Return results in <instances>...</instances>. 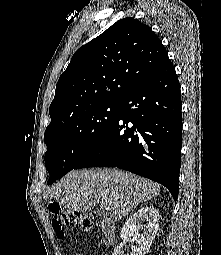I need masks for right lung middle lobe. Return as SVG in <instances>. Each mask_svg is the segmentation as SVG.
<instances>
[{"mask_svg": "<svg viewBox=\"0 0 221 255\" xmlns=\"http://www.w3.org/2000/svg\"><path fill=\"white\" fill-rule=\"evenodd\" d=\"M119 109V103L90 106L45 131L47 184L75 168L114 123Z\"/></svg>", "mask_w": 221, "mask_h": 255, "instance_id": "obj_1", "label": "right lung middle lobe"}]
</instances>
